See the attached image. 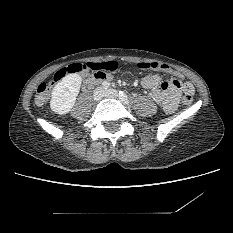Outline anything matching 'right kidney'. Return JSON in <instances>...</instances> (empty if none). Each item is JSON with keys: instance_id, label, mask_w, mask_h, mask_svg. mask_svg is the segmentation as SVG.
Listing matches in <instances>:
<instances>
[{"instance_id": "ca27d5eb", "label": "right kidney", "mask_w": 233, "mask_h": 233, "mask_svg": "<svg viewBox=\"0 0 233 233\" xmlns=\"http://www.w3.org/2000/svg\"><path fill=\"white\" fill-rule=\"evenodd\" d=\"M82 78L72 73L64 76L54 87L50 101L51 110L59 115L67 114L75 104Z\"/></svg>"}]
</instances>
